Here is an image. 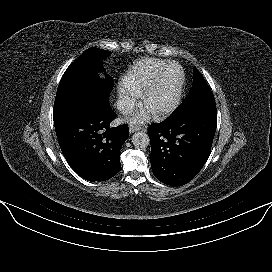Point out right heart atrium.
<instances>
[{
	"label": "right heart atrium",
	"instance_id": "obj_1",
	"mask_svg": "<svg viewBox=\"0 0 272 272\" xmlns=\"http://www.w3.org/2000/svg\"><path fill=\"white\" fill-rule=\"evenodd\" d=\"M137 99L138 94L134 91L127 89L124 86L118 88L117 104L118 109L121 112H129L135 106Z\"/></svg>",
	"mask_w": 272,
	"mask_h": 272
}]
</instances>
